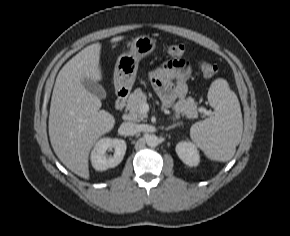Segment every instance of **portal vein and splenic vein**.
<instances>
[{
  "instance_id": "1",
  "label": "portal vein and splenic vein",
  "mask_w": 290,
  "mask_h": 236,
  "mask_svg": "<svg viewBox=\"0 0 290 236\" xmlns=\"http://www.w3.org/2000/svg\"><path fill=\"white\" fill-rule=\"evenodd\" d=\"M143 109H144V111L146 112V110H147V105H143ZM203 109H201V111H202Z\"/></svg>"
}]
</instances>
